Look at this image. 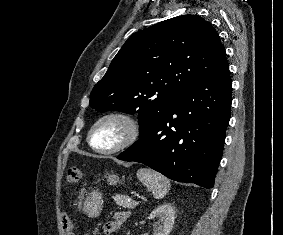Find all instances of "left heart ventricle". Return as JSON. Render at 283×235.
I'll return each instance as SVG.
<instances>
[{
  "label": "left heart ventricle",
  "instance_id": "1",
  "mask_svg": "<svg viewBox=\"0 0 283 235\" xmlns=\"http://www.w3.org/2000/svg\"><path fill=\"white\" fill-rule=\"evenodd\" d=\"M125 134L126 127L121 121L108 120L97 128L92 141L97 147L107 149L118 144Z\"/></svg>",
  "mask_w": 283,
  "mask_h": 235
}]
</instances>
